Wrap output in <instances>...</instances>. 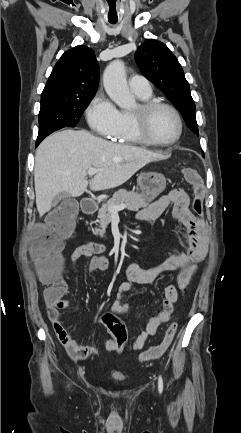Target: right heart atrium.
<instances>
[{"mask_svg": "<svg viewBox=\"0 0 241 433\" xmlns=\"http://www.w3.org/2000/svg\"><path fill=\"white\" fill-rule=\"evenodd\" d=\"M90 127L104 137H112L121 122V112L106 96L97 95L86 110Z\"/></svg>", "mask_w": 241, "mask_h": 433, "instance_id": "right-heart-atrium-1", "label": "right heart atrium"}]
</instances>
